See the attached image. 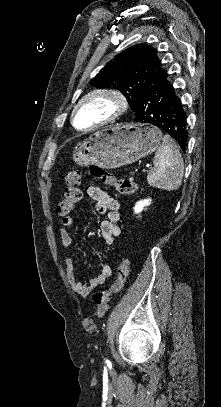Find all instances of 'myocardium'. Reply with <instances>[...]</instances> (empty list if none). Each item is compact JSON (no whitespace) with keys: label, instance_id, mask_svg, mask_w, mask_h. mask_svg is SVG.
Instances as JSON below:
<instances>
[{"label":"myocardium","instance_id":"myocardium-1","mask_svg":"<svg viewBox=\"0 0 221 407\" xmlns=\"http://www.w3.org/2000/svg\"><path fill=\"white\" fill-rule=\"evenodd\" d=\"M100 98L107 99L111 102L112 110H111L110 114L103 120H100L99 122H97L91 126H88L85 128L78 127L76 124V113L79 110V108L93 99H100ZM127 107H128L127 98L121 91H119L117 89H113V88L94 89V90L86 93L84 96H82L77 101V103L74 105L72 112H71V116H70L71 124L75 129H78V130H84V131L93 130V129L99 128L101 126H104L106 124H109V123L115 121L116 119H118L127 110Z\"/></svg>","mask_w":221,"mask_h":407}]
</instances>
